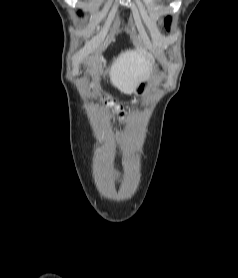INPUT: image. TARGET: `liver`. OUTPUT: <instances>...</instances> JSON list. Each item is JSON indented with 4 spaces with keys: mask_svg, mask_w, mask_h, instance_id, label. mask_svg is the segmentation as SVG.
I'll return each mask as SVG.
<instances>
[{
    "mask_svg": "<svg viewBox=\"0 0 238 278\" xmlns=\"http://www.w3.org/2000/svg\"><path fill=\"white\" fill-rule=\"evenodd\" d=\"M103 62L105 64L104 60ZM153 63L152 54L145 49L136 48L122 52L106 72L118 90L131 94L139 81L151 75Z\"/></svg>",
    "mask_w": 238,
    "mask_h": 278,
    "instance_id": "6515ba94",
    "label": "liver"
}]
</instances>
